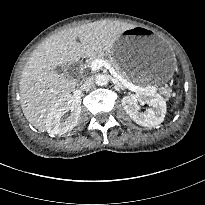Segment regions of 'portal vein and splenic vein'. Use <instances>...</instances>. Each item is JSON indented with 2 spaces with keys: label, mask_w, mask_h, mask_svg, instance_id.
Returning <instances> with one entry per match:
<instances>
[{
  "label": "portal vein and splenic vein",
  "mask_w": 205,
  "mask_h": 205,
  "mask_svg": "<svg viewBox=\"0 0 205 205\" xmlns=\"http://www.w3.org/2000/svg\"><path fill=\"white\" fill-rule=\"evenodd\" d=\"M90 67H91V69H92L93 71H97V70H99L101 67L106 68V69L110 72V74H111L113 77L119 79L122 83H124V84H125L128 88H130V89H137V90H138V89L142 88V87H137V86L133 85L132 83H129V82H127L126 80H124L120 75H118V74L115 72V70L113 69V67L111 66V64H109L106 60H103V59H95V60L91 63ZM151 89H152V90H155L154 88H151Z\"/></svg>",
  "instance_id": "obj_1"
}]
</instances>
